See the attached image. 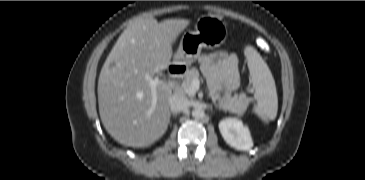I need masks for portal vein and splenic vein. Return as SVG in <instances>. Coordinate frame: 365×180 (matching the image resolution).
Wrapping results in <instances>:
<instances>
[{
  "mask_svg": "<svg viewBox=\"0 0 365 180\" xmlns=\"http://www.w3.org/2000/svg\"><path fill=\"white\" fill-rule=\"evenodd\" d=\"M146 80L149 81V84L151 86V93H152V106L148 111V115H150L154 109H155V105H156V101H157V92H156V87L158 84H165L169 87H172L178 91H184L186 94H188L189 96H193L195 95V93L199 90L200 88V81L199 79H194L192 81V83L190 84L189 87H185L184 85H179L171 80H165V79H160L158 77H150V76H146L145 77Z\"/></svg>",
  "mask_w": 365,
  "mask_h": 180,
  "instance_id": "portal-vein-and-splenic-vein-1",
  "label": "portal vein and splenic vein"
}]
</instances>
